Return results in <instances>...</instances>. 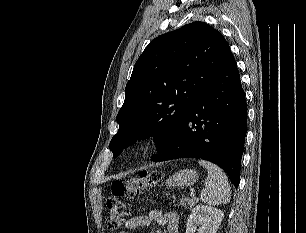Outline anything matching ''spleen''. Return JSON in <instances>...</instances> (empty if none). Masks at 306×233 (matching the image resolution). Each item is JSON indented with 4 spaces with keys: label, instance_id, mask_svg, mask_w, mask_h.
<instances>
[{
    "label": "spleen",
    "instance_id": "1",
    "mask_svg": "<svg viewBox=\"0 0 306 233\" xmlns=\"http://www.w3.org/2000/svg\"><path fill=\"white\" fill-rule=\"evenodd\" d=\"M198 163L204 166L208 173L200 195L202 202L214 206L229 203L231 191L225 172L211 162L199 160Z\"/></svg>",
    "mask_w": 306,
    "mask_h": 233
}]
</instances>
